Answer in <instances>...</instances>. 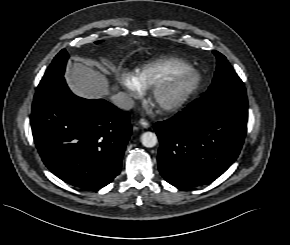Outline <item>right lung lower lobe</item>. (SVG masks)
<instances>
[{
    "instance_id": "98d812e1",
    "label": "right lung lower lobe",
    "mask_w": 290,
    "mask_h": 245,
    "mask_svg": "<svg viewBox=\"0 0 290 245\" xmlns=\"http://www.w3.org/2000/svg\"><path fill=\"white\" fill-rule=\"evenodd\" d=\"M31 127L49 170L73 186L93 189L120 173L132 131L128 112L74 95L64 77L37 87Z\"/></svg>"
}]
</instances>
